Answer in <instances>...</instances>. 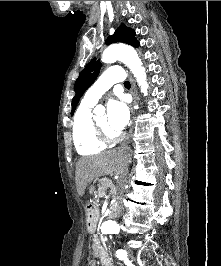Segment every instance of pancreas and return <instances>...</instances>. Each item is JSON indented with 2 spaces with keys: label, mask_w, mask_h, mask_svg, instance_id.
<instances>
[{
  "label": "pancreas",
  "mask_w": 221,
  "mask_h": 266,
  "mask_svg": "<svg viewBox=\"0 0 221 266\" xmlns=\"http://www.w3.org/2000/svg\"><path fill=\"white\" fill-rule=\"evenodd\" d=\"M97 186H98V190H97L98 196L104 197L106 195L107 189L109 187L112 188L113 184H112L111 180H109L107 178H102L99 180V183Z\"/></svg>",
  "instance_id": "1"
}]
</instances>
